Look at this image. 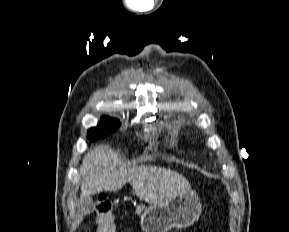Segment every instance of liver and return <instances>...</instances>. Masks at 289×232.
Segmentation results:
<instances>
[{
  "instance_id": "1",
  "label": "liver",
  "mask_w": 289,
  "mask_h": 232,
  "mask_svg": "<svg viewBox=\"0 0 289 232\" xmlns=\"http://www.w3.org/2000/svg\"><path fill=\"white\" fill-rule=\"evenodd\" d=\"M118 156L108 146L91 149L82 161L81 198L102 191H117L130 182L135 195L149 204H161L191 190L189 181L177 172L153 166L117 165ZM85 213H89L85 209Z\"/></svg>"
}]
</instances>
